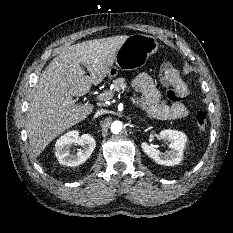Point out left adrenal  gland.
<instances>
[{
	"mask_svg": "<svg viewBox=\"0 0 233 233\" xmlns=\"http://www.w3.org/2000/svg\"><path fill=\"white\" fill-rule=\"evenodd\" d=\"M140 121H144L142 118L139 119Z\"/></svg>",
	"mask_w": 233,
	"mask_h": 233,
	"instance_id": "left-adrenal-gland-1",
	"label": "left adrenal gland"
}]
</instances>
